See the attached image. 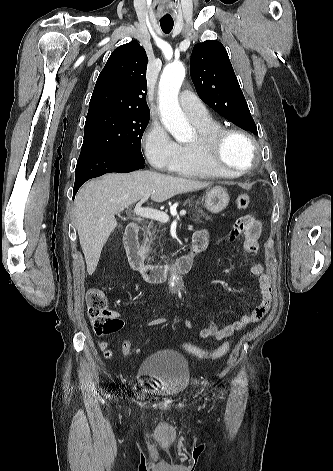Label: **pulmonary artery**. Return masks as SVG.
I'll list each match as a JSON object with an SVG mask.
<instances>
[{"instance_id":"1","label":"pulmonary artery","mask_w":333,"mask_h":471,"mask_svg":"<svg viewBox=\"0 0 333 471\" xmlns=\"http://www.w3.org/2000/svg\"><path fill=\"white\" fill-rule=\"evenodd\" d=\"M179 101L183 111L191 120H199L208 115V111L202 101L189 91H183Z\"/></svg>"}]
</instances>
